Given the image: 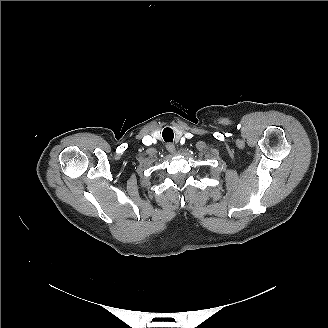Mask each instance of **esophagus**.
<instances>
[{
    "label": "esophagus",
    "instance_id": "esophagus-1",
    "mask_svg": "<svg viewBox=\"0 0 328 328\" xmlns=\"http://www.w3.org/2000/svg\"><path fill=\"white\" fill-rule=\"evenodd\" d=\"M166 149L169 153H175L176 152L175 146L171 143L166 144Z\"/></svg>",
    "mask_w": 328,
    "mask_h": 328
}]
</instances>
